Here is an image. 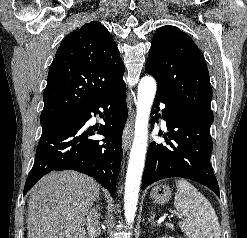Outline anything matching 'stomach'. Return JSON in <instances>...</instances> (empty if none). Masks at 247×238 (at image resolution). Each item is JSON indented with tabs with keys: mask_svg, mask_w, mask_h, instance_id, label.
I'll list each match as a JSON object with an SVG mask.
<instances>
[{
	"mask_svg": "<svg viewBox=\"0 0 247 238\" xmlns=\"http://www.w3.org/2000/svg\"><path fill=\"white\" fill-rule=\"evenodd\" d=\"M150 197L157 204H165L171 198V190L166 185H155L150 191Z\"/></svg>",
	"mask_w": 247,
	"mask_h": 238,
	"instance_id": "stomach-1",
	"label": "stomach"
}]
</instances>
